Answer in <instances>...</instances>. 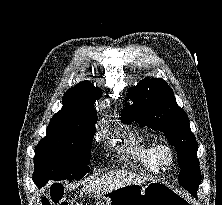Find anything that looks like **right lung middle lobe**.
<instances>
[{
	"instance_id": "dd1d6c3e",
	"label": "right lung middle lobe",
	"mask_w": 222,
	"mask_h": 205,
	"mask_svg": "<svg viewBox=\"0 0 222 205\" xmlns=\"http://www.w3.org/2000/svg\"><path fill=\"white\" fill-rule=\"evenodd\" d=\"M95 123L50 122L46 136L35 149L33 181L79 180L88 173Z\"/></svg>"
}]
</instances>
